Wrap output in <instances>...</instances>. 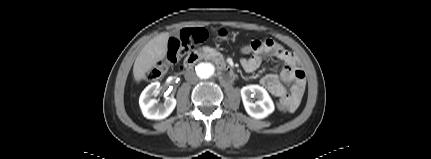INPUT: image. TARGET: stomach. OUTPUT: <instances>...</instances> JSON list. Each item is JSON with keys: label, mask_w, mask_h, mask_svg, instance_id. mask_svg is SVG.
<instances>
[{"label": "stomach", "mask_w": 431, "mask_h": 159, "mask_svg": "<svg viewBox=\"0 0 431 159\" xmlns=\"http://www.w3.org/2000/svg\"><path fill=\"white\" fill-rule=\"evenodd\" d=\"M217 36L221 40H227L228 39V30L225 28H220L217 32Z\"/></svg>", "instance_id": "stomach-1"}]
</instances>
